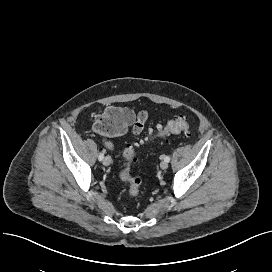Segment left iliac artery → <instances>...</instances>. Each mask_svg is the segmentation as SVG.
<instances>
[{
  "label": "left iliac artery",
  "mask_w": 272,
  "mask_h": 272,
  "mask_svg": "<svg viewBox=\"0 0 272 272\" xmlns=\"http://www.w3.org/2000/svg\"><path fill=\"white\" fill-rule=\"evenodd\" d=\"M164 160H165L166 162H169V161H170V157H169V156H165V157H164Z\"/></svg>",
  "instance_id": "left-iliac-artery-1"
}]
</instances>
